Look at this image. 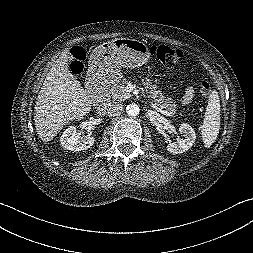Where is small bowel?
Here are the masks:
<instances>
[{
	"label": "small bowel",
	"instance_id": "obj_1",
	"mask_svg": "<svg viewBox=\"0 0 253 253\" xmlns=\"http://www.w3.org/2000/svg\"><path fill=\"white\" fill-rule=\"evenodd\" d=\"M193 93H194L193 88H192V87H189V88L187 89V91H186V93H185L183 99H182V102H183L184 104L189 103V102L191 101L192 97H193Z\"/></svg>",
	"mask_w": 253,
	"mask_h": 253
}]
</instances>
